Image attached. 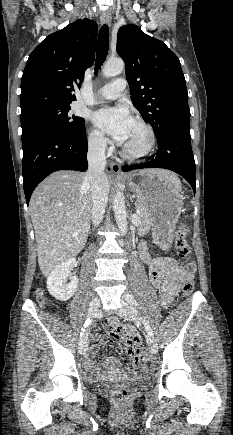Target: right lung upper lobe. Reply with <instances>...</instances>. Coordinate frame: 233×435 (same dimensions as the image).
<instances>
[{
	"mask_svg": "<svg viewBox=\"0 0 233 435\" xmlns=\"http://www.w3.org/2000/svg\"><path fill=\"white\" fill-rule=\"evenodd\" d=\"M98 26L77 20L47 36L29 55L21 79V116L38 109L69 105L74 85L95 58Z\"/></svg>",
	"mask_w": 233,
	"mask_h": 435,
	"instance_id": "cb5924a9",
	"label": "right lung upper lobe"
}]
</instances>
